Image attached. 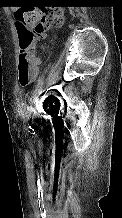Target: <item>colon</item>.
I'll return each instance as SVG.
<instances>
[{
  "label": "colon",
  "mask_w": 122,
  "mask_h": 218,
  "mask_svg": "<svg viewBox=\"0 0 122 218\" xmlns=\"http://www.w3.org/2000/svg\"><path fill=\"white\" fill-rule=\"evenodd\" d=\"M14 17L18 27L20 54L18 58L19 82L28 86L36 76V59L33 49L36 41L58 27L62 22V12L58 7L20 8Z\"/></svg>",
  "instance_id": "colon-1"
}]
</instances>
